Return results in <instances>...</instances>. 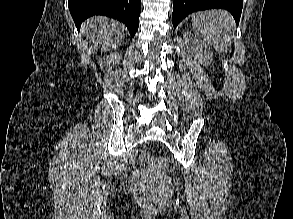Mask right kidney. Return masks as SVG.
Segmentation results:
<instances>
[{"mask_svg": "<svg viewBox=\"0 0 293 219\" xmlns=\"http://www.w3.org/2000/svg\"><path fill=\"white\" fill-rule=\"evenodd\" d=\"M119 60L117 54H110L99 59L98 65L101 68H111Z\"/></svg>", "mask_w": 293, "mask_h": 219, "instance_id": "obj_1", "label": "right kidney"}]
</instances>
